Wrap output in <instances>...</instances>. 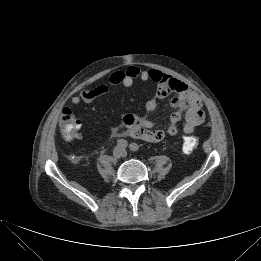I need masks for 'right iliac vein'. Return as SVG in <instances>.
<instances>
[{
    "label": "right iliac vein",
    "mask_w": 261,
    "mask_h": 261,
    "mask_svg": "<svg viewBox=\"0 0 261 261\" xmlns=\"http://www.w3.org/2000/svg\"><path fill=\"white\" fill-rule=\"evenodd\" d=\"M123 153V149L119 146L115 147L113 150V156L114 158H119Z\"/></svg>",
    "instance_id": "right-iliac-vein-1"
}]
</instances>
